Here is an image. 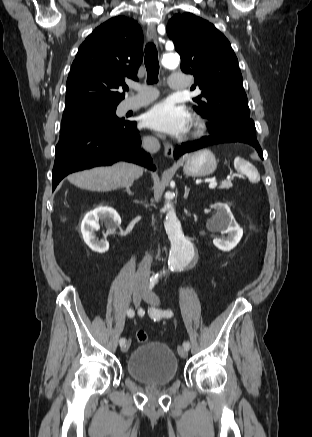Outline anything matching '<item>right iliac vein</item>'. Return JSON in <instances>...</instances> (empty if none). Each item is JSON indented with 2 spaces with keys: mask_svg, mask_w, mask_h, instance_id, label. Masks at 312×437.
Masks as SVG:
<instances>
[{
  "mask_svg": "<svg viewBox=\"0 0 312 437\" xmlns=\"http://www.w3.org/2000/svg\"><path fill=\"white\" fill-rule=\"evenodd\" d=\"M143 296V283L141 281H137L133 288V302L136 307H138L141 303V299ZM130 347V341H127L121 346V351L126 352Z\"/></svg>",
  "mask_w": 312,
  "mask_h": 437,
  "instance_id": "1",
  "label": "right iliac vein"
}]
</instances>
